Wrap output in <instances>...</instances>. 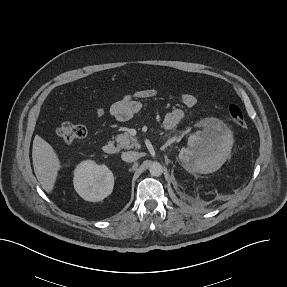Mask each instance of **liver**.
<instances>
[{"label": "liver", "instance_id": "liver-1", "mask_svg": "<svg viewBox=\"0 0 287 287\" xmlns=\"http://www.w3.org/2000/svg\"><path fill=\"white\" fill-rule=\"evenodd\" d=\"M32 160L39 183L47 193L51 194L61 169V162L53 147L39 135L33 140Z\"/></svg>", "mask_w": 287, "mask_h": 287}]
</instances>
